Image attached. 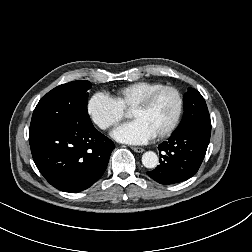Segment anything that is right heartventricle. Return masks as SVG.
Instances as JSON below:
<instances>
[{"instance_id":"e07e8e85","label":"right heart ventricle","mask_w":252,"mask_h":252,"mask_svg":"<svg viewBox=\"0 0 252 252\" xmlns=\"http://www.w3.org/2000/svg\"><path fill=\"white\" fill-rule=\"evenodd\" d=\"M163 84L155 81H138L117 89L112 98L124 109L130 110L148 93L162 87Z\"/></svg>"}]
</instances>
